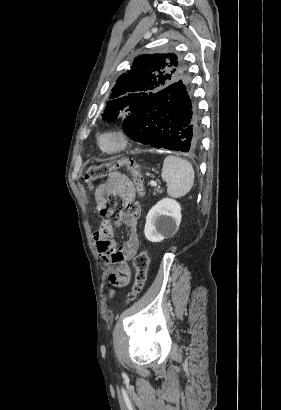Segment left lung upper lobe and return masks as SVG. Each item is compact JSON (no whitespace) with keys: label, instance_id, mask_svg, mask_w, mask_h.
I'll use <instances>...</instances> for the list:
<instances>
[{"label":"left lung upper lobe","instance_id":"left-lung-upper-lobe-1","mask_svg":"<svg viewBox=\"0 0 281 410\" xmlns=\"http://www.w3.org/2000/svg\"><path fill=\"white\" fill-rule=\"evenodd\" d=\"M184 79L188 80L187 71L174 54L141 55L118 78L102 119L113 122L141 112L154 94Z\"/></svg>","mask_w":281,"mask_h":410}]
</instances>
